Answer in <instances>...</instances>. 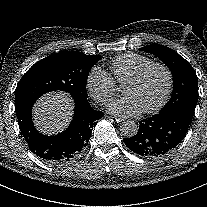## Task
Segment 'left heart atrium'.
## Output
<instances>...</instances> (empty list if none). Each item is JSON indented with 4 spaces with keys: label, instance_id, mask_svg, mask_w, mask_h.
Segmentation results:
<instances>
[{
    "label": "left heart atrium",
    "instance_id": "left-heart-atrium-1",
    "mask_svg": "<svg viewBox=\"0 0 207 207\" xmlns=\"http://www.w3.org/2000/svg\"><path fill=\"white\" fill-rule=\"evenodd\" d=\"M107 108L110 112L125 117L140 114V110L134 101L127 96L109 102Z\"/></svg>",
    "mask_w": 207,
    "mask_h": 207
}]
</instances>
